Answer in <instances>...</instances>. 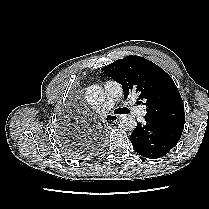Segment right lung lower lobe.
Here are the masks:
<instances>
[{
  "mask_svg": "<svg viewBox=\"0 0 209 209\" xmlns=\"http://www.w3.org/2000/svg\"><path fill=\"white\" fill-rule=\"evenodd\" d=\"M97 142H98L97 144H100V142H101V137L100 136H98ZM92 149H93V147H89V146H85L83 148V150H85L86 152L91 151ZM75 152H77V151L75 150Z\"/></svg>",
  "mask_w": 209,
  "mask_h": 209,
  "instance_id": "right-lung-lower-lobe-1",
  "label": "right lung lower lobe"
}]
</instances>
